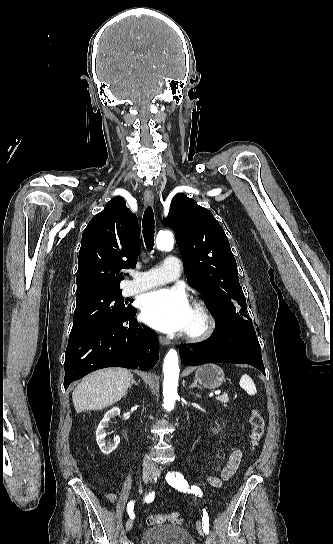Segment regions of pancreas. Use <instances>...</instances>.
<instances>
[{
  "mask_svg": "<svg viewBox=\"0 0 333 544\" xmlns=\"http://www.w3.org/2000/svg\"><path fill=\"white\" fill-rule=\"evenodd\" d=\"M219 402H221L224 406H226V403L229 402V396L228 394H223L221 396H218L216 398Z\"/></svg>",
  "mask_w": 333,
  "mask_h": 544,
  "instance_id": "pancreas-1",
  "label": "pancreas"
}]
</instances>
